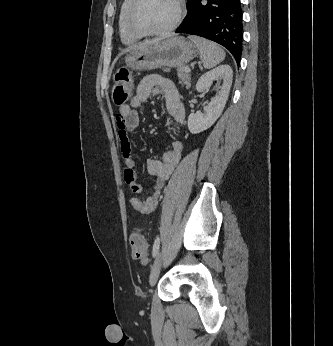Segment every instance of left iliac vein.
Instances as JSON below:
<instances>
[{
	"label": "left iliac vein",
	"instance_id": "obj_1",
	"mask_svg": "<svg viewBox=\"0 0 333 346\" xmlns=\"http://www.w3.org/2000/svg\"><path fill=\"white\" fill-rule=\"evenodd\" d=\"M162 259H163V255L162 252H159L154 264L152 266V270H151V274H150V285L153 286L156 283V280L159 276V273L161 271V267H162Z\"/></svg>",
	"mask_w": 333,
	"mask_h": 346
}]
</instances>
